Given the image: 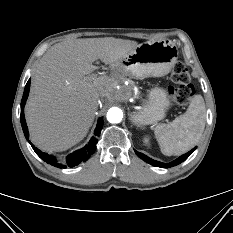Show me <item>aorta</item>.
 <instances>
[{
  "label": "aorta",
  "mask_w": 233,
  "mask_h": 233,
  "mask_svg": "<svg viewBox=\"0 0 233 233\" xmlns=\"http://www.w3.org/2000/svg\"><path fill=\"white\" fill-rule=\"evenodd\" d=\"M123 118L122 111L117 107H112L107 112V120L110 123H120Z\"/></svg>",
  "instance_id": "aorta-1"
}]
</instances>
